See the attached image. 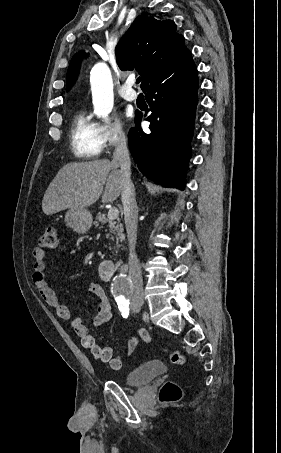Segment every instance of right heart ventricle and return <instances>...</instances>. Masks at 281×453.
Returning <instances> with one entry per match:
<instances>
[{"instance_id":"1","label":"right heart ventricle","mask_w":281,"mask_h":453,"mask_svg":"<svg viewBox=\"0 0 281 453\" xmlns=\"http://www.w3.org/2000/svg\"><path fill=\"white\" fill-rule=\"evenodd\" d=\"M71 146L80 159L97 158L105 145L101 124L86 107H80L74 114L70 128Z\"/></svg>"}]
</instances>
